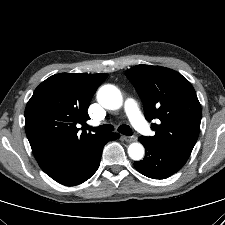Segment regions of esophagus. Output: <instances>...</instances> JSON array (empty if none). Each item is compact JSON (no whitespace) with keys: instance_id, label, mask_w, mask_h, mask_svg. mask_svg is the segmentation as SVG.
<instances>
[{"instance_id":"esophagus-1","label":"esophagus","mask_w":225,"mask_h":225,"mask_svg":"<svg viewBox=\"0 0 225 225\" xmlns=\"http://www.w3.org/2000/svg\"><path fill=\"white\" fill-rule=\"evenodd\" d=\"M122 138L126 141V142H134L136 141V137L135 136H122Z\"/></svg>"}]
</instances>
